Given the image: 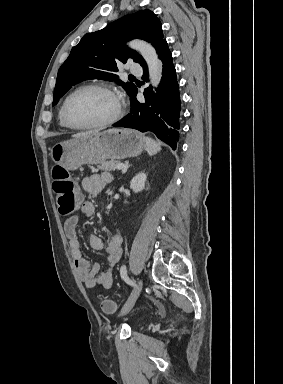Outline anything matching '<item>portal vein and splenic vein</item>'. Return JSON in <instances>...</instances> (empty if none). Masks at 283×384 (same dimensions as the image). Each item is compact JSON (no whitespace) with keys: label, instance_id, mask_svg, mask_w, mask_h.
<instances>
[{"label":"portal vein and splenic vein","instance_id":"18ae733b","mask_svg":"<svg viewBox=\"0 0 283 384\" xmlns=\"http://www.w3.org/2000/svg\"><path fill=\"white\" fill-rule=\"evenodd\" d=\"M117 170H124V172H125L126 166H123V164H118Z\"/></svg>","mask_w":283,"mask_h":384}]
</instances>
